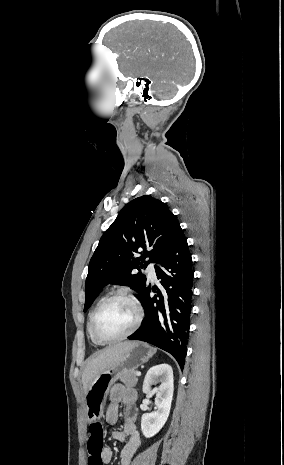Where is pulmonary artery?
<instances>
[{
    "instance_id": "obj_1",
    "label": "pulmonary artery",
    "mask_w": 284,
    "mask_h": 465,
    "mask_svg": "<svg viewBox=\"0 0 284 465\" xmlns=\"http://www.w3.org/2000/svg\"><path fill=\"white\" fill-rule=\"evenodd\" d=\"M148 275L150 279H155V272L152 268L148 270Z\"/></svg>"
}]
</instances>
